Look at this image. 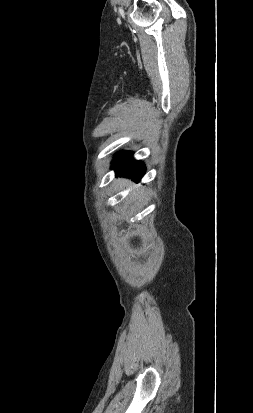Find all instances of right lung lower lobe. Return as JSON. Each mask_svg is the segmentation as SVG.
Listing matches in <instances>:
<instances>
[{
    "instance_id": "right-lung-lower-lobe-1",
    "label": "right lung lower lobe",
    "mask_w": 253,
    "mask_h": 413,
    "mask_svg": "<svg viewBox=\"0 0 253 413\" xmlns=\"http://www.w3.org/2000/svg\"><path fill=\"white\" fill-rule=\"evenodd\" d=\"M112 169H114L118 175L128 176L134 180H140L145 173V166L140 161L134 160L132 153L121 152L115 157L112 162Z\"/></svg>"
}]
</instances>
